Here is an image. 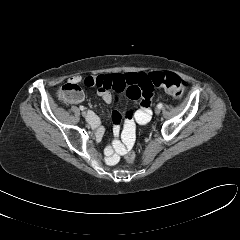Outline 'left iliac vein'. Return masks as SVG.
Returning a JSON list of instances; mask_svg holds the SVG:
<instances>
[{
	"label": "left iliac vein",
	"mask_w": 240,
	"mask_h": 240,
	"mask_svg": "<svg viewBox=\"0 0 240 240\" xmlns=\"http://www.w3.org/2000/svg\"><path fill=\"white\" fill-rule=\"evenodd\" d=\"M160 112H161V110L159 109V108H157L156 110H155V113L158 115V114H160Z\"/></svg>",
	"instance_id": "left-iliac-vein-1"
}]
</instances>
